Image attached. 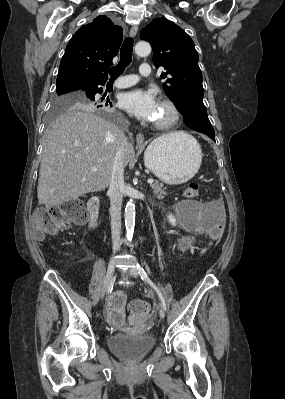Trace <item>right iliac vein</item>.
Returning a JSON list of instances; mask_svg holds the SVG:
<instances>
[{"mask_svg": "<svg viewBox=\"0 0 285 399\" xmlns=\"http://www.w3.org/2000/svg\"><path fill=\"white\" fill-rule=\"evenodd\" d=\"M114 267H115V258L112 257L110 259V262H109V266H108L107 273H106V276H105L104 284H103V287H102V289H101V291L99 293L98 300H102L104 295H105V293L110 288L111 280H112V277H113V274H114Z\"/></svg>", "mask_w": 285, "mask_h": 399, "instance_id": "right-iliac-vein-1", "label": "right iliac vein"}]
</instances>
